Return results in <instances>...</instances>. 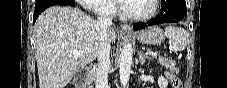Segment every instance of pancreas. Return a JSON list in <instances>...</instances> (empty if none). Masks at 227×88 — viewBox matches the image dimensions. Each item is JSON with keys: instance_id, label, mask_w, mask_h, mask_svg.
Returning <instances> with one entry per match:
<instances>
[{"instance_id": "obj_1", "label": "pancreas", "mask_w": 227, "mask_h": 88, "mask_svg": "<svg viewBox=\"0 0 227 88\" xmlns=\"http://www.w3.org/2000/svg\"><path fill=\"white\" fill-rule=\"evenodd\" d=\"M156 59L165 68H167V69H169L173 72H176V73L179 71L177 66H176V61L166 59V58H162V57H158Z\"/></svg>"}]
</instances>
